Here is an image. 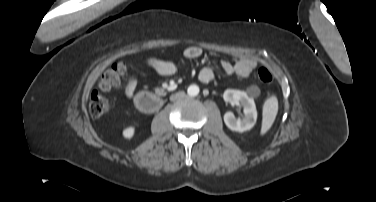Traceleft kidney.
<instances>
[{"label":"left kidney","mask_w":376,"mask_h":202,"mask_svg":"<svg viewBox=\"0 0 376 202\" xmlns=\"http://www.w3.org/2000/svg\"><path fill=\"white\" fill-rule=\"evenodd\" d=\"M223 98L231 105L241 104L244 109V116L236 119L232 112H226L224 122L232 131L244 132L250 130L256 123L257 110L253 98H250L246 92L240 90L227 89Z\"/></svg>","instance_id":"obj_1"}]
</instances>
